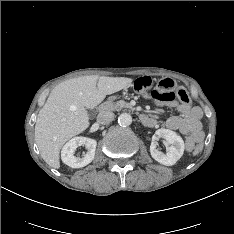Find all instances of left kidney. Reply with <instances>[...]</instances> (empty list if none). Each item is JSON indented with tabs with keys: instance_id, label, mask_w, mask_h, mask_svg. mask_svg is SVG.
I'll return each instance as SVG.
<instances>
[{
	"instance_id": "5707ae66",
	"label": "left kidney",
	"mask_w": 234,
	"mask_h": 234,
	"mask_svg": "<svg viewBox=\"0 0 234 234\" xmlns=\"http://www.w3.org/2000/svg\"><path fill=\"white\" fill-rule=\"evenodd\" d=\"M164 138L170 144L166 154L159 151L156 140ZM185 149L183 139L176 132L169 129H158L152 138L150 153L153 159L166 166L174 165L183 155Z\"/></svg>"
}]
</instances>
